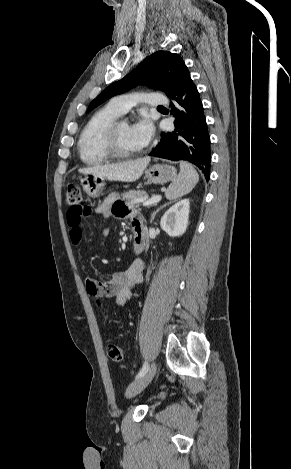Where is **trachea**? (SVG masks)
Here are the masks:
<instances>
[{"label": "trachea", "mask_w": 291, "mask_h": 469, "mask_svg": "<svg viewBox=\"0 0 291 469\" xmlns=\"http://www.w3.org/2000/svg\"><path fill=\"white\" fill-rule=\"evenodd\" d=\"M158 108H163L162 106H159Z\"/></svg>", "instance_id": "obj_1"}]
</instances>
